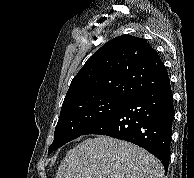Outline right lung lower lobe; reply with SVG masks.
Returning <instances> with one entry per match:
<instances>
[{"instance_id": "98d812e1", "label": "right lung lower lobe", "mask_w": 194, "mask_h": 178, "mask_svg": "<svg viewBox=\"0 0 194 178\" xmlns=\"http://www.w3.org/2000/svg\"><path fill=\"white\" fill-rule=\"evenodd\" d=\"M174 115L169 81L128 99L83 135H107L134 143L156 156L167 171Z\"/></svg>"}]
</instances>
